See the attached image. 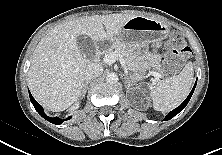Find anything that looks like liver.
Here are the masks:
<instances>
[{
	"instance_id": "liver-1",
	"label": "liver",
	"mask_w": 222,
	"mask_h": 155,
	"mask_svg": "<svg viewBox=\"0 0 222 155\" xmlns=\"http://www.w3.org/2000/svg\"><path fill=\"white\" fill-rule=\"evenodd\" d=\"M134 17L93 15L63 22L50 30L35 48L28 71V85L36 100L53 112L70 107L82 93L85 69L93 63L83 58L77 37L86 35L93 42H114Z\"/></svg>"
}]
</instances>
